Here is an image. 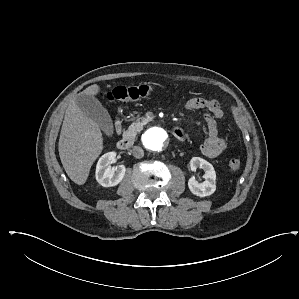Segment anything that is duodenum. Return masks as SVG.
Here are the masks:
<instances>
[{"instance_id": "obj_1", "label": "duodenum", "mask_w": 299, "mask_h": 299, "mask_svg": "<svg viewBox=\"0 0 299 299\" xmlns=\"http://www.w3.org/2000/svg\"><path fill=\"white\" fill-rule=\"evenodd\" d=\"M115 128L117 131H121L122 123H121L120 119H117L115 121ZM171 132L179 140H182L185 137L184 131L179 127H172ZM132 145H133V140L131 138H121L117 143V147L120 150H127Z\"/></svg>"}]
</instances>
